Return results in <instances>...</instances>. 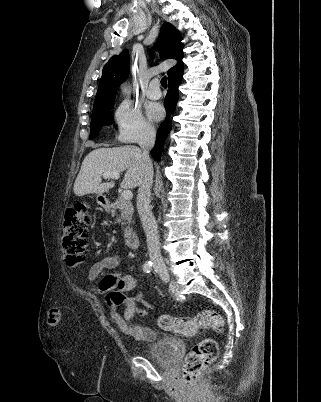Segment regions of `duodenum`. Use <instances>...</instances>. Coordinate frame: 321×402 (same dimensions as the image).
<instances>
[{
    "mask_svg": "<svg viewBox=\"0 0 321 402\" xmlns=\"http://www.w3.org/2000/svg\"><path fill=\"white\" fill-rule=\"evenodd\" d=\"M99 203L105 208H108L110 206L109 201L104 197L99 198ZM123 240L125 245L129 248L135 249L139 246L138 235L135 230L131 228H125L123 230Z\"/></svg>",
    "mask_w": 321,
    "mask_h": 402,
    "instance_id": "obj_1",
    "label": "duodenum"
}]
</instances>
